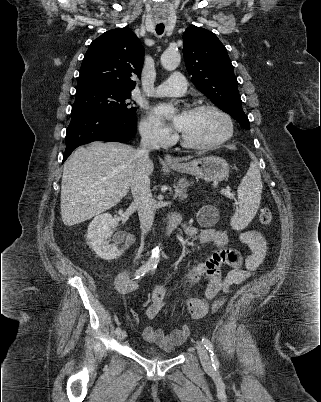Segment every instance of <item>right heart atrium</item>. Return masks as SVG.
<instances>
[{"instance_id":"right-heart-atrium-1","label":"right heart atrium","mask_w":321,"mask_h":402,"mask_svg":"<svg viewBox=\"0 0 321 402\" xmlns=\"http://www.w3.org/2000/svg\"><path fill=\"white\" fill-rule=\"evenodd\" d=\"M139 130L143 139L152 144L166 146L173 141L169 129L155 124L148 118L140 122Z\"/></svg>"}]
</instances>
